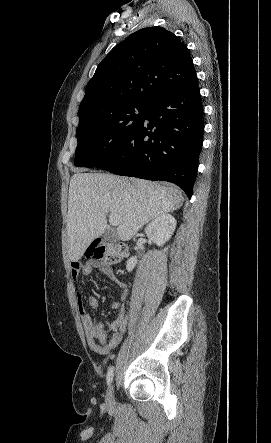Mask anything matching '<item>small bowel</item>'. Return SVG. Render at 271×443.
<instances>
[{
	"label": "small bowel",
	"mask_w": 271,
	"mask_h": 443,
	"mask_svg": "<svg viewBox=\"0 0 271 443\" xmlns=\"http://www.w3.org/2000/svg\"><path fill=\"white\" fill-rule=\"evenodd\" d=\"M95 268L100 269L111 282L120 288V300L114 301L110 305L112 309L120 310L119 316L113 322H99L94 319L85 308L84 302L86 301L92 310H96L98 300L85 288L78 292L76 301L89 348L95 353L106 354L120 343L128 325L129 316L125 312L124 306L129 291L127 285L117 278L110 267L98 261H88L85 264L77 261L72 262L71 276L73 279H77L81 274L89 276Z\"/></svg>",
	"instance_id": "small-bowel-1"
}]
</instances>
